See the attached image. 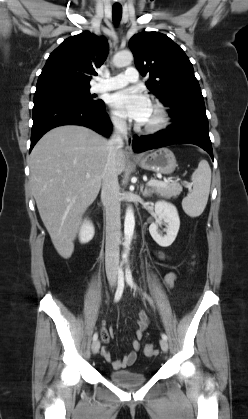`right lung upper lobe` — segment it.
Here are the masks:
<instances>
[{
  "instance_id": "right-lung-upper-lobe-1",
  "label": "right lung upper lobe",
  "mask_w": 248,
  "mask_h": 419,
  "mask_svg": "<svg viewBox=\"0 0 248 419\" xmlns=\"http://www.w3.org/2000/svg\"><path fill=\"white\" fill-rule=\"evenodd\" d=\"M108 54L105 38L88 31L64 40L47 59L38 78L36 92L67 88H90V79L96 75Z\"/></svg>"
}]
</instances>
